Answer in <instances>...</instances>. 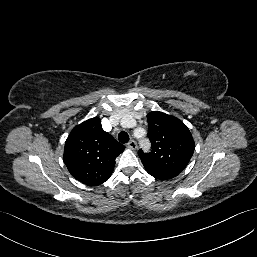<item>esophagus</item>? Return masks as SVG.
Wrapping results in <instances>:
<instances>
[{"mask_svg": "<svg viewBox=\"0 0 257 257\" xmlns=\"http://www.w3.org/2000/svg\"><path fill=\"white\" fill-rule=\"evenodd\" d=\"M126 146L127 148L134 150L137 148V143L134 140H131L127 143Z\"/></svg>", "mask_w": 257, "mask_h": 257, "instance_id": "34e87169", "label": "esophagus"}]
</instances>
